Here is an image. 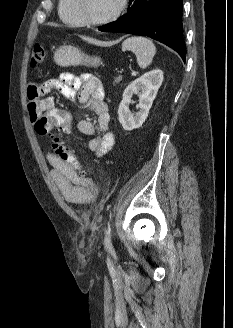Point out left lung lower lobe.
Segmentation results:
<instances>
[{
	"mask_svg": "<svg viewBox=\"0 0 233 328\" xmlns=\"http://www.w3.org/2000/svg\"><path fill=\"white\" fill-rule=\"evenodd\" d=\"M129 4L123 18L101 26L98 30L153 38L177 51L185 61L182 0H130Z\"/></svg>",
	"mask_w": 233,
	"mask_h": 328,
	"instance_id": "1",
	"label": "left lung lower lobe"
}]
</instances>
